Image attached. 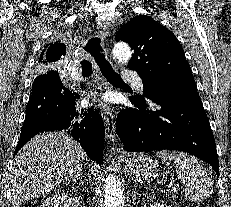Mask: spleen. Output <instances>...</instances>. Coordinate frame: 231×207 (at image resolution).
I'll list each match as a JSON object with an SVG mask.
<instances>
[{"instance_id":"spleen-1","label":"spleen","mask_w":231,"mask_h":207,"mask_svg":"<svg viewBox=\"0 0 231 207\" xmlns=\"http://www.w3.org/2000/svg\"><path fill=\"white\" fill-rule=\"evenodd\" d=\"M156 156L165 164L174 163L178 179L185 185V196L193 202H200L213 192V183L198 161L183 152L161 150Z\"/></svg>"}]
</instances>
